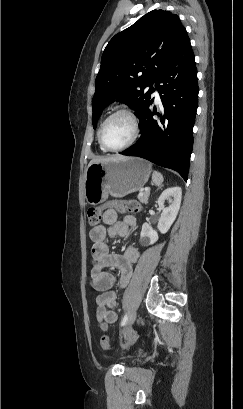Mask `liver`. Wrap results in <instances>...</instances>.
Returning a JSON list of instances; mask_svg holds the SVG:
<instances>
[{"label":"liver","instance_id":"obj_1","mask_svg":"<svg viewBox=\"0 0 243 409\" xmlns=\"http://www.w3.org/2000/svg\"><path fill=\"white\" fill-rule=\"evenodd\" d=\"M110 159H112V158H99V159H94L91 162H104V161H107V160H110Z\"/></svg>","mask_w":243,"mask_h":409}]
</instances>
